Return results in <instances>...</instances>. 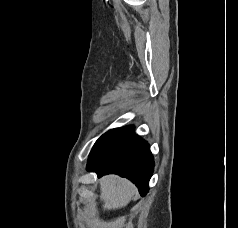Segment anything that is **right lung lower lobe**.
I'll return each instance as SVG.
<instances>
[{"label":"right lung lower lobe","instance_id":"right-lung-lower-lobe-1","mask_svg":"<svg viewBox=\"0 0 238 228\" xmlns=\"http://www.w3.org/2000/svg\"><path fill=\"white\" fill-rule=\"evenodd\" d=\"M87 171L99 177L118 174L131 180L144 196L154 171V160L149 144L134 134V127L109 130L93 146L87 163Z\"/></svg>","mask_w":238,"mask_h":228}]
</instances>
